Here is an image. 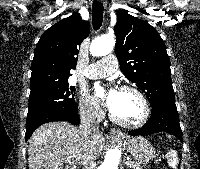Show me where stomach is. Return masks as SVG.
Listing matches in <instances>:
<instances>
[{"instance_id": "obj_1", "label": "stomach", "mask_w": 200, "mask_h": 169, "mask_svg": "<svg viewBox=\"0 0 200 169\" xmlns=\"http://www.w3.org/2000/svg\"><path fill=\"white\" fill-rule=\"evenodd\" d=\"M124 142L128 152L138 163L146 164L154 157L155 150L145 138H126Z\"/></svg>"}]
</instances>
